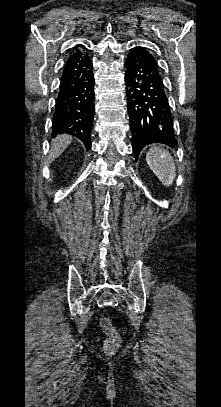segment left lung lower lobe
Segmentation results:
<instances>
[{
  "mask_svg": "<svg viewBox=\"0 0 221 407\" xmlns=\"http://www.w3.org/2000/svg\"><path fill=\"white\" fill-rule=\"evenodd\" d=\"M126 67L127 109L135 156L150 143L175 146L173 117L154 55L145 47H134L128 54Z\"/></svg>",
  "mask_w": 221,
  "mask_h": 407,
  "instance_id": "1",
  "label": "left lung lower lobe"
}]
</instances>
